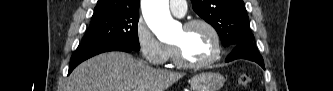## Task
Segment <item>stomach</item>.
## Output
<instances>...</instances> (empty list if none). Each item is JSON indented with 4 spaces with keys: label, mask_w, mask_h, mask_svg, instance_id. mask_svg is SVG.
Instances as JSON below:
<instances>
[{
    "label": "stomach",
    "mask_w": 333,
    "mask_h": 91,
    "mask_svg": "<svg viewBox=\"0 0 333 91\" xmlns=\"http://www.w3.org/2000/svg\"><path fill=\"white\" fill-rule=\"evenodd\" d=\"M225 83V78L220 73L203 72L191 79L192 91H219Z\"/></svg>",
    "instance_id": "obj_1"
}]
</instances>
